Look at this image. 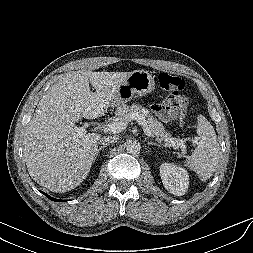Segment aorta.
<instances>
[{
	"mask_svg": "<svg viewBox=\"0 0 253 253\" xmlns=\"http://www.w3.org/2000/svg\"><path fill=\"white\" fill-rule=\"evenodd\" d=\"M141 145L139 142L135 141H129L127 143V152L130 154H138L140 152Z\"/></svg>",
	"mask_w": 253,
	"mask_h": 253,
	"instance_id": "1",
	"label": "aorta"
}]
</instances>
